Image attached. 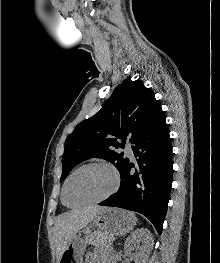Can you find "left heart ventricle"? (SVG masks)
I'll list each match as a JSON object with an SVG mask.
<instances>
[{
	"label": "left heart ventricle",
	"mask_w": 220,
	"mask_h": 263,
	"mask_svg": "<svg viewBox=\"0 0 220 263\" xmlns=\"http://www.w3.org/2000/svg\"><path fill=\"white\" fill-rule=\"evenodd\" d=\"M113 186V175L105 167L92 166L77 172L68 185L67 201L79 204L99 198Z\"/></svg>",
	"instance_id": "b2bd125f"
}]
</instances>
